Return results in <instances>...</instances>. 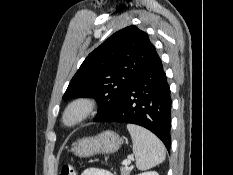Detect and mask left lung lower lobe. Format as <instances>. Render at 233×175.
<instances>
[{
    "mask_svg": "<svg viewBox=\"0 0 233 175\" xmlns=\"http://www.w3.org/2000/svg\"><path fill=\"white\" fill-rule=\"evenodd\" d=\"M98 122L140 125L153 132L170 149L171 98L157 52L126 89L117 106Z\"/></svg>",
    "mask_w": 233,
    "mask_h": 175,
    "instance_id": "left-lung-lower-lobe-1",
    "label": "left lung lower lobe"
}]
</instances>
